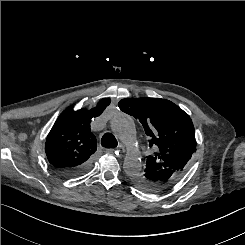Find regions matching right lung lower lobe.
<instances>
[{"instance_id": "obj_1", "label": "right lung lower lobe", "mask_w": 245, "mask_h": 245, "mask_svg": "<svg viewBox=\"0 0 245 245\" xmlns=\"http://www.w3.org/2000/svg\"><path fill=\"white\" fill-rule=\"evenodd\" d=\"M91 168V160L71 169H56V171L66 177H77L86 173Z\"/></svg>"}]
</instances>
